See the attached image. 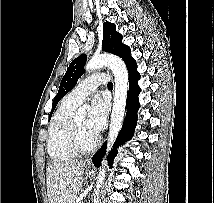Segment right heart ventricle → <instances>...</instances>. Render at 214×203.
Masks as SVG:
<instances>
[{"label": "right heart ventricle", "instance_id": "1", "mask_svg": "<svg viewBox=\"0 0 214 203\" xmlns=\"http://www.w3.org/2000/svg\"><path fill=\"white\" fill-rule=\"evenodd\" d=\"M78 104L71 102L66 96L55 114L48 129L47 151L50 158L56 163H65L73 160L74 153L69 144V132L71 127L70 113Z\"/></svg>", "mask_w": 214, "mask_h": 203}]
</instances>
